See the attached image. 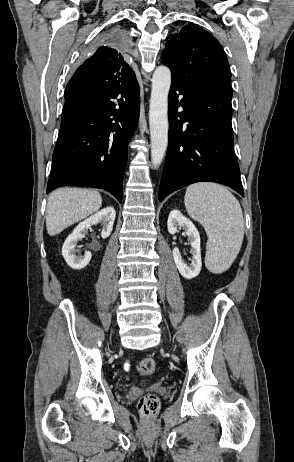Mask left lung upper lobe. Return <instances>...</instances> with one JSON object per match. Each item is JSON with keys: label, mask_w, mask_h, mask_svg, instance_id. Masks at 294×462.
<instances>
[{"label": "left lung upper lobe", "mask_w": 294, "mask_h": 462, "mask_svg": "<svg viewBox=\"0 0 294 462\" xmlns=\"http://www.w3.org/2000/svg\"><path fill=\"white\" fill-rule=\"evenodd\" d=\"M161 59L172 80L184 84H230V66L219 42L192 23L170 36Z\"/></svg>", "instance_id": "left-lung-upper-lobe-1"}]
</instances>
